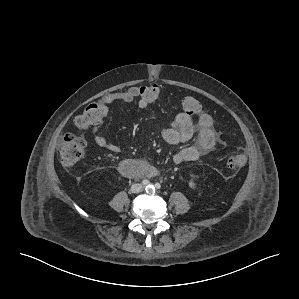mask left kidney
I'll list each match as a JSON object with an SVG mask.
<instances>
[{
	"mask_svg": "<svg viewBox=\"0 0 299 299\" xmlns=\"http://www.w3.org/2000/svg\"><path fill=\"white\" fill-rule=\"evenodd\" d=\"M188 184H189V187H190L191 189H195V188H196V184H195V182L190 181Z\"/></svg>",
	"mask_w": 299,
	"mask_h": 299,
	"instance_id": "obj_1",
	"label": "left kidney"
}]
</instances>
